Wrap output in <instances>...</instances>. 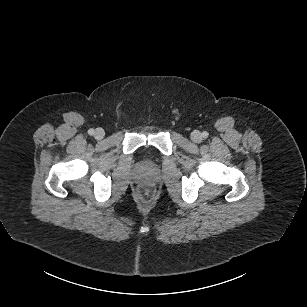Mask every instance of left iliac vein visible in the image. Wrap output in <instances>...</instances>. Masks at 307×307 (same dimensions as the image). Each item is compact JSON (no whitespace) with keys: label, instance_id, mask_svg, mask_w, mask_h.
I'll return each mask as SVG.
<instances>
[{"label":"left iliac vein","instance_id":"4c4485c4","mask_svg":"<svg viewBox=\"0 0 307 307\" xmlns=\"http://www.w3.org/2000/svg\"><path fill=\"white\" fill-rule=\"evenodd\" d=\"M191 140L195 143H199L202 141V134L198 131L195 130L191 133Z\"/></svg>","mask_w":307,"mask_h":307}]
</instances>
